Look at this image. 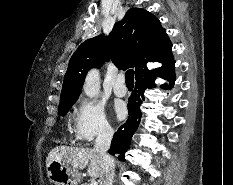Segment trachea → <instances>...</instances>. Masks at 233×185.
<instances>
[{"mask_svg": "<svg viewBox=\"0 0 233 185\" xmlns=\"http://www.w3.org/2000/svg\"><path fill=\"white\" fill-rule=\"evenodd\" d=\"M126 84H134V71L129 69L125 74Z\"/></svg>", "mask_w": 233, "mask_h": 185, "instance_id": "obj_1", "label": "trachea"}]
</instances>
